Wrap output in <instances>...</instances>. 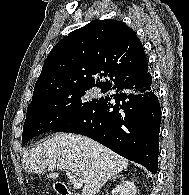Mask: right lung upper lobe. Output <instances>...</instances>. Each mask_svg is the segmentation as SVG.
Returning <instances> with one entry per match:
<instances>
[{
	"mask_svg": "<svg viewBox=\"0 0 189 195\" xmlns=\"http://www.w3.org/2000/svg\"><path fill=\"white\" fill-rule=\"evenodd\" d=\"M146 67L143 45L130 27L112 19L95 21L69 33L51 50L32 101L74 86L107 88Z\"/></svg>",
	"mask_w": 189,
	"mask_h": 195,
	"instance_id": "cb5924a9",
	"label": "right lung upper lobe"
}]
</instances>
